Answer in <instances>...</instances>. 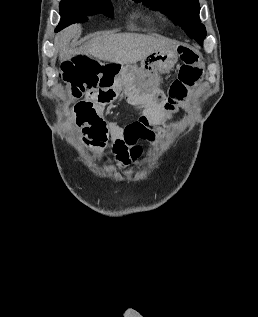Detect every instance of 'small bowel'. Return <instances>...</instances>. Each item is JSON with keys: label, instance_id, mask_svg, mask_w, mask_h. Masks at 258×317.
Listing matches in <instances>:
<instances>
[{"label": "small bowel", "instance_id": "small-bowel-1", "mask_svg": "<svg viewBox=\"0 0 258 317\" xmlns=\"http://www.w3.org/2000/svg\"><path fill=\"white\" fill-rule=\"evenodd\" d=\"M71 117L80 128L83 142L88 148L102 151L111 142L115 161L121 167L141 161L140 139L151 143L158 139L148 119L141 118L124 127L87 100L73 105Z\"/></svg>", "mask_w": 258, "mask_h": 317}]
</instances>
